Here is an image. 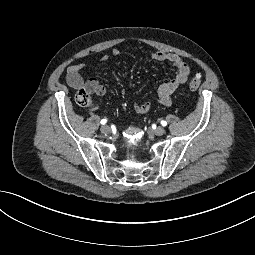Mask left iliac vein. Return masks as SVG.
I'll return each mask as SVG.
<instances>
[{"label":"left iliac vein","instance_id":"obj_1","mask_svg":"<svg viewBox=\"0 0 255 255\" xmlns=\"http://www.w3.org/2000/svg\"><path fill=\"white\" fill-rule=\"evenodd\" d=\"M154 133L158 136H162L165 133V129L159 126L154 130Z\"/></svg>","mask_w":255,"mask_h":255}]
</instances>
